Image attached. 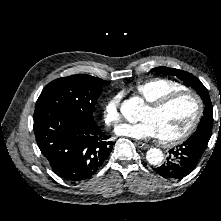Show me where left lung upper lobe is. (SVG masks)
<instances>
[{"instance_id": "5c2ea615", "label": "left lung upper lobe", "mask_w": 221, "mask_h": 221, "mask_svg": "<svg viewBox=\"0 0 221 221\" xmlns=\"http://www.w3.org/2000/svg\"><path fill=\"white\" fill-rule=\"evenodd\" d=\"M152 71L167 75H175L187 84L191 85L197 91V93L204 101L205 109L204 116L202 117L201 122L199 123V126L195 133H211L213 125V107L210 101L208 90L204 87L201 81L194 75L179 69L167 68L162 66L154 68L152 69Z\"/></svg>"}]
</instances>
